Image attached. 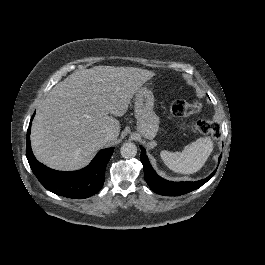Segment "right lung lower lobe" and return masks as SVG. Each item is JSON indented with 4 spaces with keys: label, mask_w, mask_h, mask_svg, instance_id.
<instances>
[{
    "label": "right lung lower lobe",
    "mask_w": 265,
    "mask_h": 265,
    "mask_svg": "<svg viewBox=\"0 0 265 265\" xmlns=\"http://www.w3.org/2000/svg\"><path fill=\"white\" fill-rule=\"evenodd\" d=\"M30 127L31 122L27 131L26 156L33 173L47 190L67 198L84 199L96 194L102 188L106 165L114 148L101 150L92 162L81 170L72 172L52 170L34 157L30 145Z\"/></svg>",
    "instance_id": "obj_1"
}]
</instances>
